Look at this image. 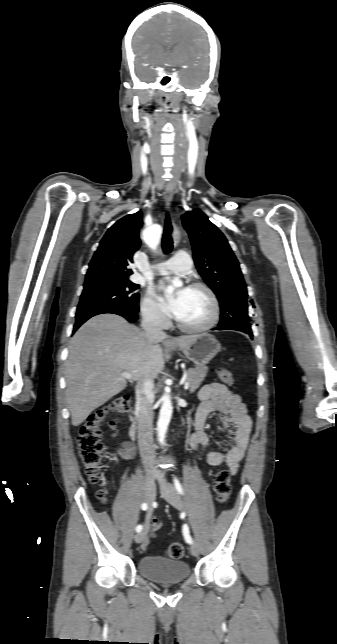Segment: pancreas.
I'll use <instances>...</instances> for the list:
<instances>
[{
	"label": "pancreas",
	"instance_id": "1",
	"mask_svg": "<svg viewBox=\"0 0 337 644\" xmlns=\"http://www.w3.org/2000/svg\"><path fill=\"white\" fill-rule=\"evenodd\" d=\"M207 372V367L190 368L185 372L186 381L189 382L191 393H193L200 386Z\"/></svg>",
	"mask_w": 337,
	"mask_h": 644
}]
</instances>
